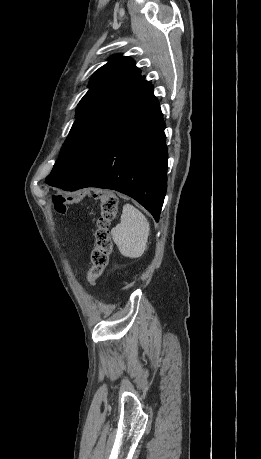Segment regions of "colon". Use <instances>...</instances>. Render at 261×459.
Returning <instances> with one entry per match:
<instances>
[{
  "label": "colon",
  "mask_w": 261,
  "mask_h": 459,
  "mask_svg": "<svg viewBox=\"0 0 261 459\" xmlns=\"http://www.w3.org/2000/svg\"><path fill=\"white\" fill-rule=\"evenodd\" d=\"M81 197H94L100 201V216L95 231V246L91 253V266L87 273L90 285L96 286L106 268L112 252L111 223L118 212V200L113 192H98L96 188H74L73 195H54L52 203L57 213L66 214L68 206L80 201Z\"/></svg>",
  "instance_id": "colon-1"
}]
</instances>
